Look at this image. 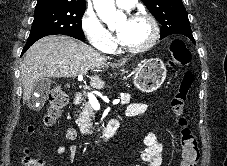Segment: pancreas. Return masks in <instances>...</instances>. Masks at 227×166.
Wrapping results in <instances>:
<instances>
[{"instance_id":"1","label":"pancreas","mask_w":227,"mask_h":166,"mask_svg":"<svg viewBox=\"0 0 227 166\" xmlns=\"http://www.w3.org/2000/svg\"><path fill=\"white\" fill-rule=\"evenodd\" d=\"M131 99L130 94H125L121 97V105L129 104ZM94 109L92 108L89 102L83 104L82 112L80 113L79 118L76 120L77 125L79 126L82 133L85 134H92L93 123L92 120L94 119Z\"/></svg>"}]
</instances>
